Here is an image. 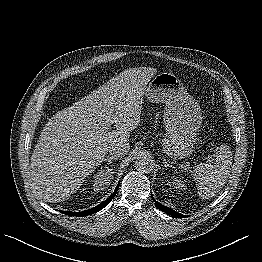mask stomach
<instances>
[{"instance_id": "obj_1", "label": "stomach", "mask_w": 262, "mask_h": 262, "mask_svg": "<svg viewBox=\"0 0 262 262\" xmlns=\"http://www.w3.org/2000/svg\"><path fill=\"white\" fill-rule=\"evenodd\" d=\"M145 96L150 102L166 105L163 151L174 159L190 156L202 124L199 104L188 94L181 80L170 72L156 75L146 87Z\"/></svg>"}]
</instances>
